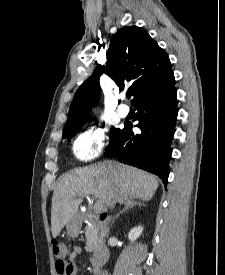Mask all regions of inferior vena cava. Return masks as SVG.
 <instances>
[{"mask_svg":"<svg viewBox=\"0 0 225 275\" xmlns=\"http://www.w3.org/2000/svg\"><path fill=\"white\" fill-rule=\"evenodd\" d=\"M120 195H121V192H120L119 188L116 187V188H115V192H114V194L111 196V198H110V200H109V203H108V206H109L110 208H113V207L115 206L116 202H117V201L119 200V198H120ZM101 275H108V273H107V271H103V272L101 273Z\"/></svg>","mask_w":225,"mask_h":275,"instance_id":"obj_1","label":"inferior vena cava"}]
</instances>
